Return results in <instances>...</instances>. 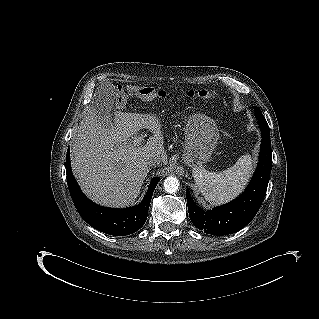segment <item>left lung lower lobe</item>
<instances>
[{"label":"left lung lower lobe","instance_id":"0a47b994","mask_svg":"<svg viewBox=\"0 0 319 319\" xmlns=\"http://www.w3.org/2000/svg\"><path fill=\"white\" fill-rule=\"evenodd\" d=\"M262 133L257 169L242 195L235 201L209 211L199 208L186 191L189 216L199 230L212 235H228L244 228L256 215L265 197L271 167L270 130L265 119L257 118Z\"/></svg>","mask_w":319,"mask_h":319}]
</instances>
